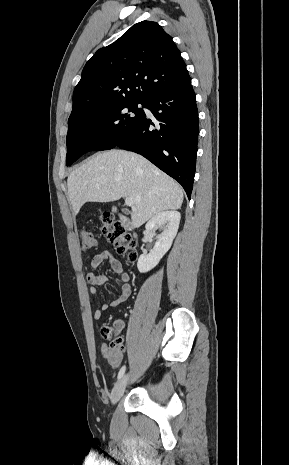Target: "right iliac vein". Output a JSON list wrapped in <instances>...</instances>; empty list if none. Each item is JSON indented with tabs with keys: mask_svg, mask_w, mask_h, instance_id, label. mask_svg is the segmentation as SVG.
I'll list each match as a JSON object with an SVG mask.
<instances>
[{
	"mask_svg": "<svg viewBox=\"0 0 289 465\" xmlns=\"http://www.w3.org/2000/svg\"><path fill=\"white\" fill-rule=\"evenodd\" d=\"M127 382H128V375H125L115 384L114 388L112 389L111 395H110V400L113 405L116 404L122 397L125 391Z\"/></svg>",
	"mask_w": 289,
	"mask_h": 465,
	"instance_id": "1",
	"label": "right iliac vein"
}]
</instances>
